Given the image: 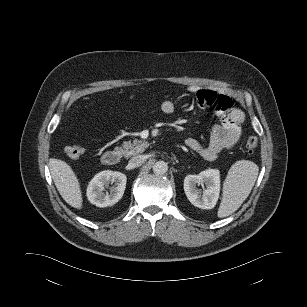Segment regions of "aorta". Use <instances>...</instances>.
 <instances>
[{
	"label": "aorta",
	"mask_w": 307,
	"mask_h": 307,
	"mask_svg": "<svg viewBox=\"0 0 307 307\" xmlns=\"http://www.w3.org/2000/svg\"><path fill=\"white\" fill-rule=\"evenodd\" d=\"M168 171V165L164 161H157L153 165V172L157 175H163Z\"/></svg>",
	"instance_id": "obj_1"
}]
</instances>
